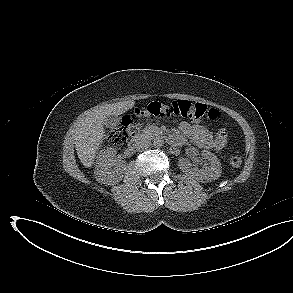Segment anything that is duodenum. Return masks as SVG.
Returning <instances> with one entry per match:
<instances>
[{
	"mask_svg": "<svg viewBox=\"0 0 293 293\" xmlns=\"http://www.w3.org/2000/svg\"><path fill=\"white\" fill-rule=\"evenodd\" d=\"M169 139L172 143H177V137L170 136ZM142 141H143V137L141 135H137L130 140L128 146L130 149L133 150V149L137 148L142 143Z\"/></svg>",
	"mask_w": 293,
	"mask_h": 293,
	"instance_id": "duodenum-1",
	"label": "duodenum"
}]
</instances>
